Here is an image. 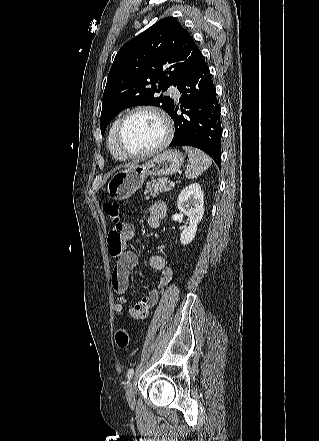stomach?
Wrapping results in <instances>:
<instances>
[{"label":"stomach","mask_w":319,"mask_h":441,"mask_svg":"<svg viewBox=\"0 0 319 441\" xmlns=\"http://www.w3.org/2000/svg\"><path fill=\"white\" fill-rule=\"evenodd\" d=\"M184 157L176 149H168L144 163H133L115 173L108 182L107 192L112 199L129 198L141 188L147 176L172 175L183 165Z\"/></svg>","instance_id":"stomach-1"}]
</instances>
